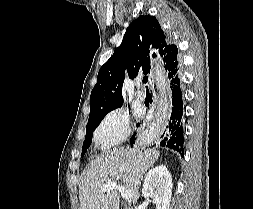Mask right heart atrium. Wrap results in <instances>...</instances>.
<instances>
[{
  "label": "right heart atrium",
  "mask_w": 253,
  "mask_h": 209,
  "mask_svg": "<svg viewBox=\"0 0 253 209\" xmlns=\"http://www.w3.org/2000/svg\"><path fill=\"white\" fill-rule=\"evenodd\" d=\"M128 113L121 108L108 112L96 127L93 139L102 150H108L123 143L130 135Z\"/></svg>",
  "instance_id": "obj_1"
}]
</instances>
